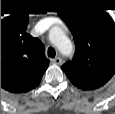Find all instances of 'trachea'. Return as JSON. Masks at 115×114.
<instances>
[{"mask_svg":"<svg viewBox=\"0 0 115 114\" xmlns=\"http://www.w3.org/2000/svg\"><path fill=\"white\" fill-rule=\"evenodd\" d=\"M55 55H56L55 50L52 47L48 48V56L54 58Z\"/></svg>","mask_w":115,"mask_h":114,"instance_id":"3493384b","label":"trachea"}]
</instances>
